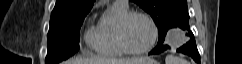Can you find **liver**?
<instances>
[{
  "mask_svg": "<svg viewBox=\"0 0 242 64\" xmlns=\"http://www.w3.org/2000/svg\"><path fill=\"white\" fill-rule=\"evenodd\" d=\"M149 60V58H132V59H84V58H72L63 64H142Z\"/></svg>",
  "mask_w": 242,
  "mask_h": 64,
  "instance_id": "liver-1",
  "label": "liver"
}]
</instances>
